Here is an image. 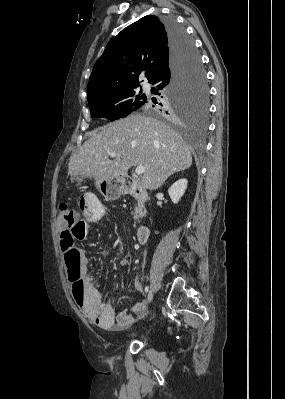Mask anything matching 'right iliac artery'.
Masks as SVG:
<instances>
[{"mask_svg":"<svg viewBox=\"0 0 285 399\" xmlns=\"http://www.w3.org/2000/svg\"><path fill=\"white\" fill-rule=\"evenodd\" d=\"M149 291V286L147 285L146 287H145V293H147Z\"/></svg>","mask_w":285,"mask_h":399,"instance_id":"right-iliac-artery-1","label":"right iliac artery"}]
</instances>
